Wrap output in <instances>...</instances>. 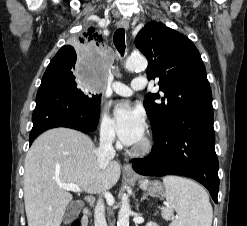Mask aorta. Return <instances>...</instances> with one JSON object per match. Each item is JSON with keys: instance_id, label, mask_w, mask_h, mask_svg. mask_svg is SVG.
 Returning <instances> with one entry per match:
<instances>
[{"instance_id": "762f6f07", "label": "aorta", "mask_w": 247, "mask_h": 226, "mask_svg": "<svg viewBox=\"0 0 247 226\" xmlns=\"http://www.w3.org/2000/svg\"><path fill=\"white\" fill-rule=\"evenodd\" d=\"M147 65L148 62L144 56H131L125 63V67L128 71L145 70ZM130 213L129 198L124 194L121 201V208L118 213L117 226H129Z\"/></svg>"}]
</instances>
